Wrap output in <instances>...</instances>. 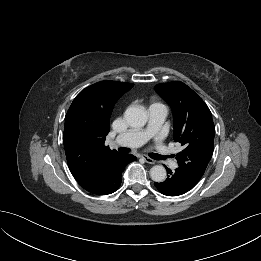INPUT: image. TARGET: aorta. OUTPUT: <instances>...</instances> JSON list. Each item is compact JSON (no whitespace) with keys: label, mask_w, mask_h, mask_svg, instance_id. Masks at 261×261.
I'll return each mask as SVG.
<instances>
[{"label":"aorta","mask_w":261,"mask_h":261,"mask_svg":"<svg viewBox=\"0 0 261 261\" xmlns=\"http://www.w3.org/2000/svg\"><path fill=\"white\" fill-rule=\"evenodd\" d=\"M127 124L134 128L143 127L147 120V112L142 107L130 106L124 113ZM151 179L155 182H163L166 179V169L162 165H155L150 169Z\"/></svg>","instance_id":"762f6f07"}]
</instances>
